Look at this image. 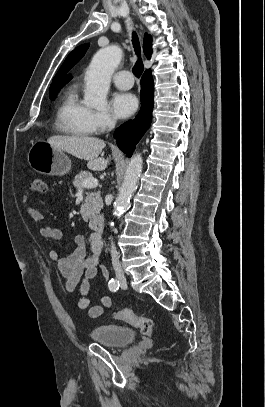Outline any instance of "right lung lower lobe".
I'll use <instances>...</instances> for the list:
<instances>
[{
	"label": "right lung lower lobe",
	"mask_w": 265,
	"mask_h": 407,
	"mask_svg": "<svg viewBox=\"0 0 265 407\" xmlns=\"http://www.w3.org/2000/svg\"><path fill=\"white\" fill-rule=\"evenodd\" d=\"M141 109L134 120L116 129L114 137L118 147L131 157L136 144L149 129L154 104V87L151 70H146L141 79Z\"/></svg>",
	"instance_id": "obj_1"
}]
</instances>
